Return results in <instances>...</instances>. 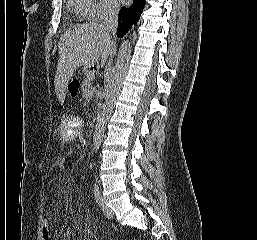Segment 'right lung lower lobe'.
Listing matches in <instances>:
<instances>
[{"mask_svg":"<svg viewBox=\"0 0 257 240\" xmlns=\"http://www.w3.org/2000/svg\"><path fill=\"white\" fill-rule=\"evenodd\" d=\"M144 6L145 0H134L130 7H122L120 9L118 16V37L122 38L133 24L136 25Z\"/></svg>","mask_w":257,"mask_h":240,"instance_id":"1","label":"right lung lower lobe"}]
</instances>
